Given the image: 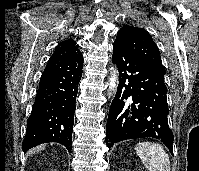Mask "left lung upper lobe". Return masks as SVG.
<instances>
[{"instance_id": "1", "label": "left lung upper lobe", "mask_w": 199, "mask_h": 171, "mask_svg": "<svg viewBox=\"0 0 199 171\" xmlns=\"http://www.w3.org/2000/svg\"><path fill=\"white\" fill-rule=\"evenodd\" d=\"M114 43L122 45L138 58L165 74L158 47L145 29L125 25L118 31Z\"/></svg>"}]
</instances>
